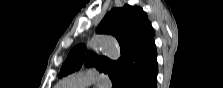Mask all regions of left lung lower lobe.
Wrapping results in <instances>:
<instances>
[{
	"instance_id": "left-lung-lower-lobe-1",
	"label": "left lung lower lobe",
	"mask_w": 223,
	"mask_h": 88,
	"mask_svg": "<svg viewBox=\"0 0 223 88\" xmlns=\"http://www.w3.org/2000/svg\"><path fill=\"white\" fill-rule=\"evenodd\" d=\"M157 59H154L141 73L130 76L118 88H156Z\"/></svg>"
}]
</instances>
